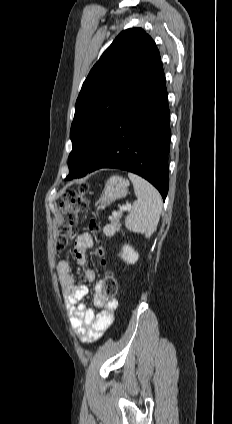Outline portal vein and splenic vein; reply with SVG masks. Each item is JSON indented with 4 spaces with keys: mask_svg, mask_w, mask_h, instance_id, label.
<instances>
[{
    "mask_svg": "<svg viewBox=\"0 0 232 424\" xmlns=\"http://www.w3.org/2000/svg\"><path fill=\"white\" fill-rule=\"evenodd\" d=\"M131 209V204H126L125 206H120V211H129ZM117 213H113V216H115Z\"/></svg>",
    "mask_w": 232,
    "mask_h": 424,
    "instance_id": "obj_1",
    "label": "portal vein and splenic vein"
}]
</instances>
